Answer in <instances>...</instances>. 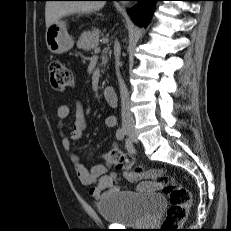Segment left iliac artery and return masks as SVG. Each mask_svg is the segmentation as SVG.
<instances>
[{"label": "left iliac artery", "mask_w": 231, "mask_h": 231, "mask_svg": "<svg viewBox=\"0 0 231 231\" xmlns=\"http://www.w3.org/2000/svg\"><path fill=\"white\" fill-rule=\"evenodd\" d=\"M125 146H126L129 153H135V149L133 147V144H132V141L130 140V138L125 139Z\"/></svg>", "instance_id": "44dca946"}]
</instances>
